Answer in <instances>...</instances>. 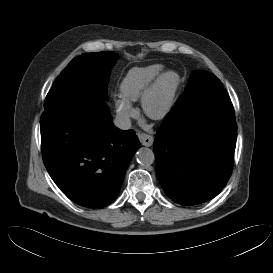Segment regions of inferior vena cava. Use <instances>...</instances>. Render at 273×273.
Segmentation results:
<instances>
[{"instance_id":"inferior-vena-cava-1","label":"inferior vena cava","mask_w":273,"mask_h":273,"mask_svg":"<svg viewBox=\"0 0 273 273\" xmlns=\"http://www.w3.org/2000/svg\"><path fill=\"white\" fill-rule=\"evenodd\" d=\"M114 125L119 129L128 130L131 128V121L127 116L117 115L114 119Z\"/></svg>"}]
</instances>
